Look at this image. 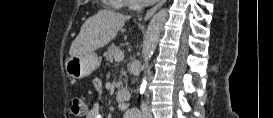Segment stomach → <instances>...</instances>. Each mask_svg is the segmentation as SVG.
Returning a JSON list of instances; mask_svg holds the SVG:
<instances>
[{
	"label": "stomach",
	"instance_id": "stomach-1",
	"mask_svg": "<svg viewBox=\"0 0 273 118\" xmlns=\"http://www.w3.org/2000/svg\"><path fill=\"white\" fill-rule=\"evenodd\" d=\"M100 66V60L96 53H85L78 56H71L66 64V73L70 78L82 79L89 76Z\"/></svg>",
	"mask_w": 273,
	"mask_h": 118
}]
</instances>
